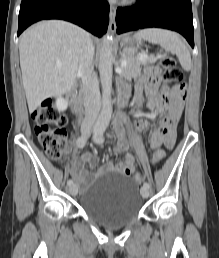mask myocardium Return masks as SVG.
<instances>
[{
	"label": "myocardium",
	"instance_id": "myocardium-1",
	"mask_svg": "<svg viewBox=\"0 0 219 258\" xmlns=\"http://www.w3.org/2000/svg\"><path fill=\"white\" fill-rule=\"evenodd\" d=\"M136 0H125L126 3H133L135 2Z\"/></svg>",
	"mask_w": 219,
	"mask_h": 258
}]
</instances>
